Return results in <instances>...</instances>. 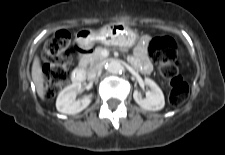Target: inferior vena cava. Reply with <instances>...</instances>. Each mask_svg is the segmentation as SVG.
Instances as JSON below:
<instances>
[{"instance_id": "602c4592", "label": "inferior vena cava", "mask_w": 225, "mask_h": 155, "mask_svg": "<svg viewBox=\"0 0 225 155\" xmlns=\"http://www.w3.org/2000/svg\"><path fill=\"white\" fill-rule=\"evenodd\" d=\"M103 65L102 64H96L89 68L88 70V79L92 80L94 79L102 70Z\"/></svg>"}]
</instances>
